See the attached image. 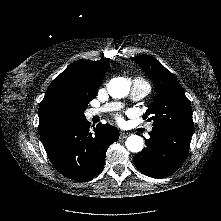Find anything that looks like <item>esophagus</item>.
Returning a JSON list of instances; mask_svg holds the SVG:
<instances>
[{
    "label": "esophagus",
    "mask_w": 221,
    "mask_h": 221,
    "mask_svg": "<svg viewBox=\"0 0 221 221\" xmlns=\"http://www.w3.org/2000/svg\"><path fill=\"white\" fill-rule=\"evenodd\" d=\"M129 136V133L128 132H120V137L121 138H126V137H128Z\"/></svg>",
    "instance_id": "obj_1"
}]
</instances>
